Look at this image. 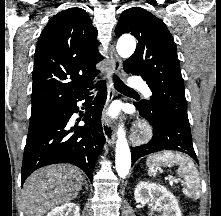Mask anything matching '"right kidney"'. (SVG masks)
Masks as SVG:
<instances>
[{
	"label": "right kidney",
	"instance_id": "ca27d5eb",
	"mask_svg": "<svg viewBox=\"0 0 221 216\" xmlns=\"http://www.w3.org/2000/svg\"><path fill=\"white\" fill-rule=\"evenodd\" d=\"M46 216H80V209L74 203H65L52 209Z\"/></svg>",
	"mask_w": 221,
	"mask_h": 216
}]
</instances>
